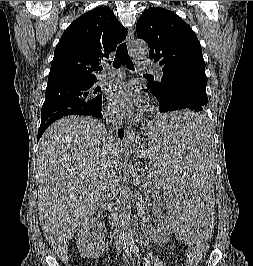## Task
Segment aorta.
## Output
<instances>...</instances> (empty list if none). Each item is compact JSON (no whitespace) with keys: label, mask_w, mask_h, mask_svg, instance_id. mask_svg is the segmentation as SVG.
<instances>
[{"label":"aorta","mask_w":253,"mask_h":266,"mask_svg":"<svg viewBox=\"0 0 253 266\" xmlns=\"http://www.w3.org/2000/svg\"><path fill=\"white\" fill-rule=\"evenodd\" d=\"M133 51L137 56L145 57L149 53V47L144 41H138L134 44ZM131 194V187L126 180L118 190V210L122 225V239L126 244L133 242L129 229V220L131 217Z\"/></svg>","instance_id":"obj_1"}]
</instances>
